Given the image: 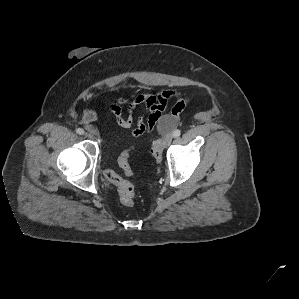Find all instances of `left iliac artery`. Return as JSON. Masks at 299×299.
Here are the masks:
<instances>
[{
	"instance_id": "44dca946",
	"label": "left iliac artery",
	"mask_w": 299,
	"mask_h": 299,
	"mask_svg": "<svg viewBox=\"0 0 299 299\" xmlns=\"http://www.w3.org/2000/svg\"><path fill=\"white\" fill-rule=\"evenodd\" d=\"M180 134H181V131H180L179 129H176V130H174V132H173V136H174L175 138H176V137H179Z\"/></svg>"
}]
</instances>
